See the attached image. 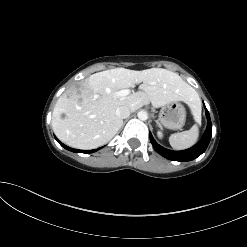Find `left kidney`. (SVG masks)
Instances as JSON below:
<instances>
[{"instance_id":"obj_1","label":"left kidney","mask_w":247,"mask_h":247,"mask_svg":"<svg viewBox=\"0 0 247 247\" xmlns=\"http://www.w3.org/2000/svg\"><path fill=\"white\" fill-rule=\"evenodd\" d=\"M157 136H158L159 139H162L163 133H162L161 131H158V132H157Z\"/></svg>"}]
</instances>
